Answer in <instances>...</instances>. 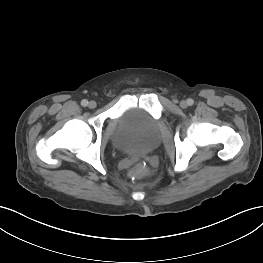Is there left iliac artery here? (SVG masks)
<instances>
[{
  "instance_id": "left-iliac-artery-1",
  "label": "left iliac artery",
  "mask_w": 263,
  "mask_h": 263,
  "mask_svg": "<svg viewBox=\"0 0 263 263\" xmlns=\"http://www.w3.org/2000/svg\"><path fill=\"white\" fill-rule=\"evenodd\" d=\"M193 103H194L193 99L190 98V99L187 100V104L189 106L193 105Z\"/></svg>"
}]
</instances>
